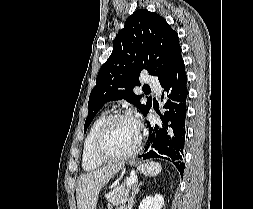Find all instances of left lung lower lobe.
I'll use <instances>...</instances> for the list:
<instances>
[{
    "mask_svg": "<svg viewBox=\"0 0 253 209\" xmlns=\"http://www.w3.org/2000/svg\"><path fill=\"white\" fill-rule=\"evenodd\" d=\"M187 75L183 60H180L165 78L160 81L165 94V111H157L161 124L147 122L149 138L143 159L163 158L172 162L183 176V148L185 142V120L187 113ZM155 108V104L153 105ZM156 109V108H155Z\"/></svg>",
    "mask_w": 253,
    "mask_h": 209,
    "instance_id": "1",
    "label": "left lung lower lobe"
}]
</instances>
